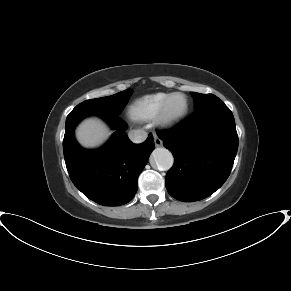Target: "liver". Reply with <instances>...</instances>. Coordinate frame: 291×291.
Segmentation results:
<instances>
[{
	"label": "liver",
	"instance_id": "liver-1",
	"mask_svg": "<svg viewBox=\"0 0 291 291\" xmlns=\"http://www.w3.org/2000/svg\"><path fill=\"white\" fill-rule=\"evenodd\" d=\"M110 134L107 126L97 118L85 119L76 130V138L85 148L100 146Z\"/></svg>",
	"mask_w": 291,
	"mask_h": 291
}]
</instances>
